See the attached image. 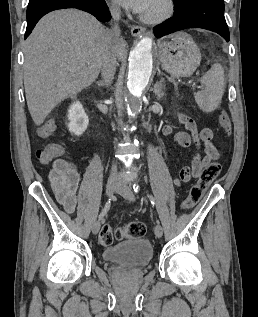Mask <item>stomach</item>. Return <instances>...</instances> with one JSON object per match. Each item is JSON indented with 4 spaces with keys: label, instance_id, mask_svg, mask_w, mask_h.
<instances>
[{
    "label": "stomach",
    "instance_id": "1",
    "mask_svg": "<svg viewBox=\"0 0 258 317\" xmlns=\"http://www.w3.org/2000/svg\"><path fill=\"white\" fill-rule=\"evenodd\" d=\"M158 56L163 68L175 78L193 74L201 60L200 48L187 32H177L171 40H161Z\"/></svg>",
    "mask_w": 258,
    "mask_h": 317
}]
</instances>
